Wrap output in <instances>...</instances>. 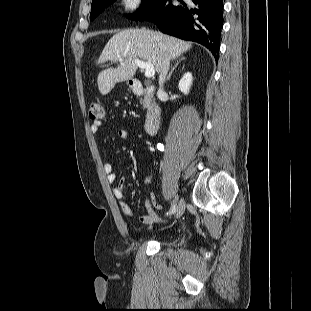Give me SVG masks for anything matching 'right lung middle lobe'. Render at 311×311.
<instances>
[{
  "mask_svg": "<svg viewBox=\"0 0 311 311\" xmlns=\"http://www.w3.org/2000/svg\"><path fill=\"white\" fill-rule=\"evenodd\" d=\"M116 0H95L91 5L90 20L96 18L106 7ZM160 0H143L141 7L133 15L132 19L137 20L147 14Z\"/></svg>",
  "mask_w": 311,
  "mask_h": 311,
  "instance_id": "right-lung-middle-lobe-1",
  "label": "right lung middle lobe"
}]
</instances>
